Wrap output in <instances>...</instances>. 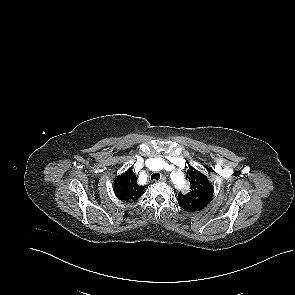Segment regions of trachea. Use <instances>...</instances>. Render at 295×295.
<instances>
[{
	"mask_svg": "<svg viewBox=\"0 0 295 295\" xmlns=\"http://www.w3.org/2000/svg\"><path fill=\"white\" fill-rule=\"evenodd\" d=\"M151 179L152 180H159L160 179V174L159 173H153L151 175Z\"/></svg>",
	"mask_w": 295,
	"mask_h": 295,
	"instance_id": "1",
	"label": "trachea"
}]
</instances>
